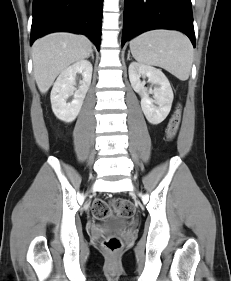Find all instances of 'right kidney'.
<instances>
[{
	"instance_id": "ca27d5eb",
	"label": "right kidney",
	"mask_w": 231,
	"mask_h": 281,
	"mask_svg": "<svg viewBox=\"0 0 231 281\" xmlns=\"http://www.w3.org/2000/svg\"><path fill=\"white\" fill-rule=\"evenodd\" d=\"M93 67L87 60H80L64 69L51 91V105L55 116L64 121L72 122L78 116L83 100L91 84ZM82 74L83 79L76 85V74ZM73 95V100L67 103V99Z\"/></svg>"
}]
</instances>
